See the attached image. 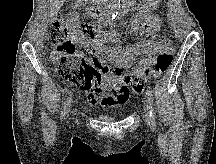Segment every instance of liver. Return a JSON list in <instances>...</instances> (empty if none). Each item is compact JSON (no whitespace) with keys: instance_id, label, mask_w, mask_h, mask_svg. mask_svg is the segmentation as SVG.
Returning a JSON list of instances; mask_svg holds the SVG:
<instances>
[{"instance_id":"obj_1","label":"liver","mask_w":216,"mask_h":164,"mask_svg":"<svg viewBox=\"0 0 216 164\" xmlns=\"http://www.w3.org/2000/svg\"><path fill=\"white\" fill-rule=\"evenodd\" d=\"M50 1L53 2V10L51 11V15H54L59 11V9L61 8L65 0H50Z\"/></svg>"}]
</instances>
